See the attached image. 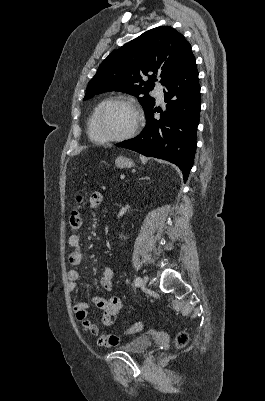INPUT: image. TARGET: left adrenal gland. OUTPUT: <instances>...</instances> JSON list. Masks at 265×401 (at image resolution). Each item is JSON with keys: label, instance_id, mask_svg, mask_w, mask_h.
I'll list each match as a JSON object with an SVG mask.
<instances>
[{"label": "left adrenal gland", "instance_id": "1", "mask_svg": "<svg viewBox=\"0 0 265 401\" xmlns=\"http://www.w3.org/2000/svg\"><path fill=\"white\" fill-rule=\"evenodd\" d=\"M143 178H148V176H143Z\"/></svg>", "mask_w": 265, "mask_h": 401}]
</instances>
